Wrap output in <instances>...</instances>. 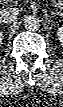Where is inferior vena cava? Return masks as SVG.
<instances>
[{
    "mask_svg": "<svg viewBox=\"0 0 63 107\" xmlns=\"http://www.w3.org/2000/svg\"><path fill=\"white\" fill-rule=\"evenodd\" d=\"M18 11L15 8H5L0 11V22L2 24H10L16 20Z\"/></svg>",
    "mask_w": 63,
    "mask_h": 107,
    "instance_id": "602c4592",
    "label": "inferior vena cava"
}]
</instances>
